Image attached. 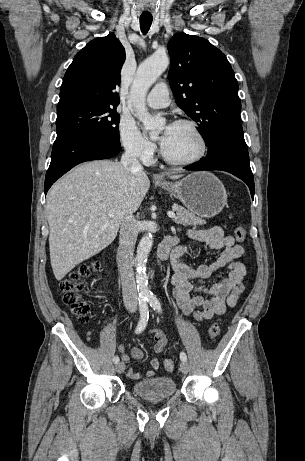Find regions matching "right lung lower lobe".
Wrapping results in <instances>:
<instances>
[{"instance_id": "obj_1", "label": "right lung lower lobe", "mask_w": 305, "mask_h": 461, "mask_svg": "<svg viewBox=\"0 0 305 461\" xmlns=\"http://www.w3.org/2000/svg\"><path fill=\"white\" fill-rule=\"evenodd\" d=\"M120 150V145L91 136L55 140L51 163L45 177V194L57 179L77 164L112 158Z\"/></svg>"}]
</instances>
